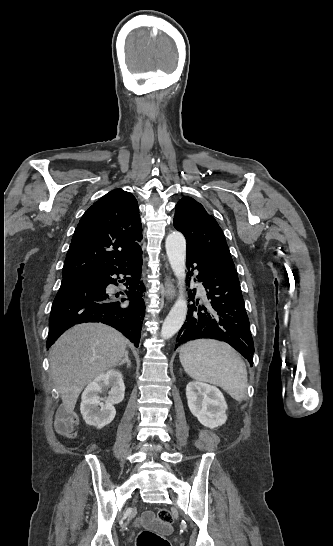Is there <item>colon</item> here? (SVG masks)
<instances>
[{"label":"colon","mask_w":333,"mask_h":546,"mask_svg":"<svg viewBox=\"0 0 333 546\" xmlns=\"http://www.w3.org/2000/svg\"><path fill=\"white\" fill-rule=\"evenodd\" d=\"M158 520L163 524L174 522L172 512L167 508H161L157 512ZM137 546H170L169 542L152 530H142L137 537Z\"/></svg>","instance_id":"5ec220e1"}]
</instances>
